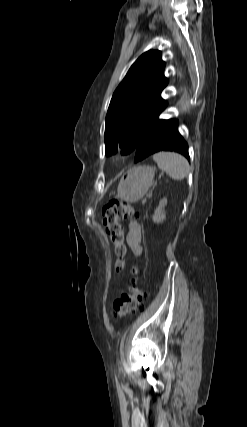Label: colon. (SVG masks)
Returning <instances> with one entry per match:
<instances>
[{"instance_id": "obj_1", "label": "colon", "mask_w": 247, "mask_h": 427, "mask_svg": "<svg viewBox=\"0 0 247 427\" xmlns=\"http://www.w3.org/2000/svg\"><path fill=\"white\" fill-rule=\"evenodd\" d=\"M133 213L130 204L120 200L110 201L102 210L105 233L111 241L117 257L115 262L117 272L123 270V258L127 252L122 221ZM132 271L135 274L136 268H133ZM141 283V280L134 276L130 280L128 291L114 301L113 315L115 318H124L143 309L145 294L141 288Z\"/></svg>"}]
</instances>
